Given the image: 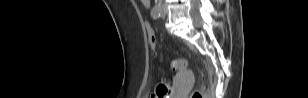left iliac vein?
I'll return each mask as SVG.
<instances>
[{
	"label": "left iliac vein",
	"instance_id": "4c4485c4",
	"mask_svg": "<svg viewBox=\"0 0 308 98\" xmlns=\"http://www.w3.org/2000/svg\"><path fill=\"white\" fill-rule=\"evenodd\" d=\"M166 15H167V10H166L165 6H162V8H161V17L165 18Z\"/></svg>",
	"mask_w": 308,
	"mask_h": 98
}]
</instances>
